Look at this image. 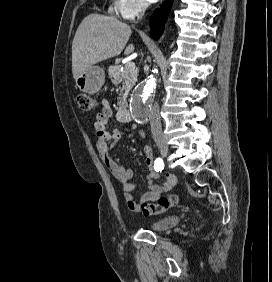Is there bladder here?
Wrapping results in <instances>:
<instances>
[{
    "instance_id": "31cf9c89",
    "label": "bladder",
    "mask_w": 272,
    "mask_h": 282,
    "mask_svg": "<svg viewBox=\"0 0 272 282\" xmlns=\"http://www.w3.org/2000/svg\"><path fill=\"white\" fill-rule=\"evenodd\" d=\"M180 220L178 215L164 217L158 221L148 224L146 227L152 231H160L164 229H168L174 225H176Z\"/></svg>"
}]
</instances>
